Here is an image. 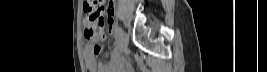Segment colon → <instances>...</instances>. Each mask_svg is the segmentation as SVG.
<instances>
[{"instance_id":"5ec220e1","label":"colon","mask_w":267,"mask_h":72,"mask_svg":"<svg viewBox=\"0 0 267 72\" xmlns=\"http://www.w3.org/2000/svg\"><path fill=\"white\" fill-rule=\"evenodd\" d=\"M104 7L102 1L86 0L84 2V34L93 42L95 53H101L105 41V33L102 26Z\"/></svg>"}]
</instances>
